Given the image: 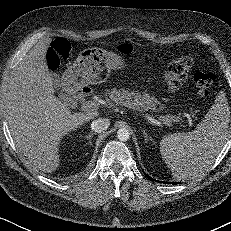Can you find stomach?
<instances>
[{
	"mask_svg": "<svg viewBox=\"0 0 231 231\" xmlns=\"http://www.w3.org/2000/svg\"><path fill=\"white\" fill-rule=\"evenodd\" d=\"M125 67L126 62L116 53L86 49L80 52L74 63L64 72L63 81L69 88L99 84L107 79L112 69Z\"/></svg>",
	"mask_w": 231,
	"mask_h": 231,
	"instance_id": "stomach-1",
	"label": "stomach"
}]
</instances>
